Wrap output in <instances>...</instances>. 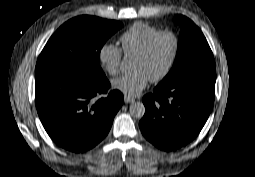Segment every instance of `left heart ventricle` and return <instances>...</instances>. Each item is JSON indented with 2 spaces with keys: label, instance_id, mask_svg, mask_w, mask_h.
I'll return each instance as SVG.
<instances>
[{
  "label": "left heart ventricle",
  "instance_id": "1",
  "mask_svg": "<svg viewBox=\"0 0 255 177\" xmlns=\"http://www.w3.org/2000/svg\"><path fill=\"white\" fill-rule=\"evenodd\" d=\"M173 39L169 36L161 37L154 44L145 58H136L132 64V71H141L149 79L158 76L167 65L173 51Z\"/></svg>",
  "mask_w": 255,
  "mask_h": 177
}]
</instances>
